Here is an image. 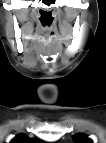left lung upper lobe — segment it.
Segmentation results:
<instances>
[{"label": "left lung upper lobe", "mask_w": 106, "mask_h": 143, "mask_svg": "<svg viewBox=\"0 0 106 143\" xmlns=\"http://www.w3.org/2000/svg\"><path fill=\"white\" fill-rule=\"evenodd\" d=\"M75 143H93V141L82 134H76L72 137Z\"/></svg>", "instance_id": "obj_1"}]
</instances>
